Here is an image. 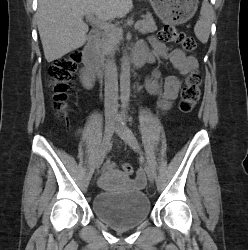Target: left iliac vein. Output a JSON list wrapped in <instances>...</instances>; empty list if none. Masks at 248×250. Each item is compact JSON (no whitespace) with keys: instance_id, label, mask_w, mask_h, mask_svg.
Listing matches in <instances>:
<instances>
[{"instance_id":"obj_1","label":"left iliac vein","mask_w":248,"mask_h":250,"mask_svg":"<svg viewBox=\"0 0 248 250\" xmlns=\"http://www.w3.org/2000/svg\"><path fill=\"white\" fill-rule=\"evenodd\" d=\"M117 120L119 121L120 119H117ZM115 132L129 145L131 149H133L134 151L138 153L141 152V148L136 137L134 136L133 132L126 124L124 123L117 124L115 126ZM145 171H146L149 182L153 183L155 175L151 166L148 164H145Z\"/></svg>"}]
</instances>
